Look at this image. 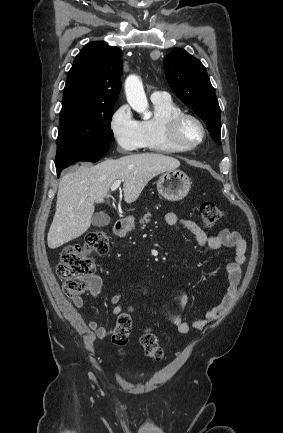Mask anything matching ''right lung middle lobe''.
Returning a JSON list of instances; mask_svg holds the SVG:
<instances>
[{
    "instance_id": "dd1d6c3e",
    "label": "right lung middle lobe",
    "mask_w": 283,
    "mask_h": 433,
    "mask_svg": "<svg viewBox=\"0 0 283 433\" xmlns=\"http://www.w3.org/2000/svg\"><path fill=\"white\" fill-rule=\"evenodd\" d=\"M114 103L80 104L61 109L57 148L105 149L114 140L110 122Z\"/></svg>"
}]
</instances>
